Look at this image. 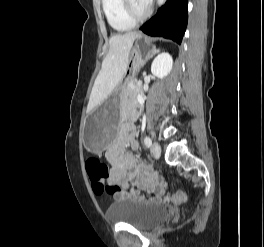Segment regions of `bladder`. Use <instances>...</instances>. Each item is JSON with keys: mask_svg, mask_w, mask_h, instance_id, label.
<instances>
[{"mask_svg": "<svg viewBox=\"0 0 264 247\" xmlns=\"http://www.w3.org/2000/svg\"><path fill=\"white\" fill-rule=\"evenodd\" d=\"M168 217V211L162 205L134 198L117 199L107 210L110 222L126 223L138 229H151Z\"/></svg>", "mask_w": 264, "mask_h": 247, "instance_id": "bladder-1", "label": "bladder"}]
</instances>
